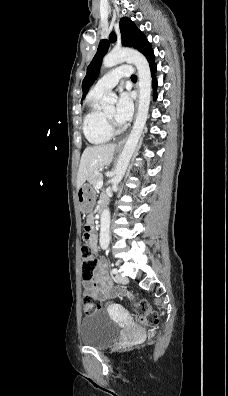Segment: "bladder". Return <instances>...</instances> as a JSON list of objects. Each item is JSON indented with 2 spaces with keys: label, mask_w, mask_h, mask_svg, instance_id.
Returning <instances> with one entry per match:
<instances>
[{
  "label": "bladder",
  "mask_w": 228,
  "mask_h": 396,
  "mask_svg": "<svg viewBox=\"0 0 228 396\" xmlns=\"http://www.w3.org/2000/svg\"><path fill=\"white\" fill-rule=\"evenodd\" d=\"M120 337V328L107 313L96 310L87 314L80 325L81 343L95 349H106Z\"/></svg>",
  "instance_id": "bladder-1"
}]
</instances>
